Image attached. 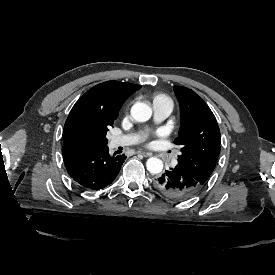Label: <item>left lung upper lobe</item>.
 I'll list each match as a JSON object with an SVG mask.
<instances>
[{"instance_id": "obj_1", "label": "left lung upper lobe", "mask_w": 275, "mask_h": 275, "mask_svg": "<svg viewBox=\"0 0 275 275\" xmlns=\"http://www.w3.org/2000/svg\"><path fill=\"white\" fill-rule=\"evenodd\" d=\"M174 92L181 116L179 135L174 140L182 152L178 166L204 185L220 153V130L214 114L199 95L181 86H174Z\"/></svg>"}]
</instances>
